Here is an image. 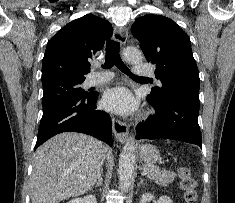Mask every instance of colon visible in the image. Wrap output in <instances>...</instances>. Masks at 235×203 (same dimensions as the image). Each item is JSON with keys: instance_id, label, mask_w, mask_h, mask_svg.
<instances>
[{"instance_id": "colon-1", "label": "colon", "mask_w": 235, "mask_h": 203, "mask_svg": "<svg viewBox=\"0 0 235 203\" xmlns=\"http://www.w3.org/2000/svg\"><path fill=\"white\" fill-rule=\"evenodd\" d=\"M180 187L183 192V198L186 203H195L197 201V183L192 177L191 172L186 167L179 168Z\"/></svg>"}]
</instances>
